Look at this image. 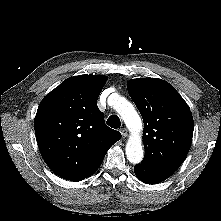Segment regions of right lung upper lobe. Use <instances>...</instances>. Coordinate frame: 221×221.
I'll list each match as a JSON object with an SVG mask.
<instances>
[{"label": "right lung upper lobe", "mask_w": 221, "mask_h": 221, "mask_svg": "<svg viewBox=\"0 0 221 221\" xmlns=\"http://www.w3.org/2000/svg\"><path fill=\"white\" fill-rule=\"evenodd\" d=\"M107 78L80 75L66 79L41 101L34 120L41 155L58 176L81 181L100 166L121 139L105 125L97 98Z\"/></svg>", "instance_id": "obj_1"}]
</instances>
